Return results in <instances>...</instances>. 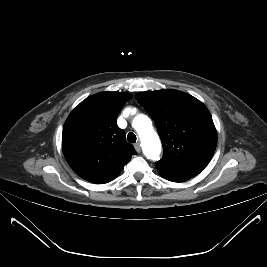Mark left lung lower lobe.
Wrapping results in <instances>:
<instances>
[{
  "label": "left lung lower lobe",
  "mask_w": 267,
  "mask_h": 267,
  "mask_svg": "<svg viewBox=\"0 0 267 267\" xmlns=\"http://www.w3.org/2000/svg\"><path fill=\"white\" fill-rule=\"evenodd\" d=\"M155 166L158 169L159 174L163 178H165V179H167L169 181L183 182V181H186V180L192 178V177H190L188 175L176 172L174 170H171V169H168V168H165V167H161V166H158V165H155Z\"/></svg>",
  "instance_id": "0a47b994"
}]
</instances>
